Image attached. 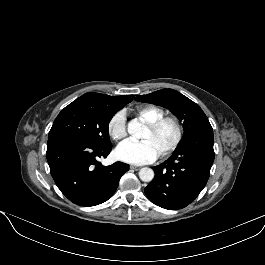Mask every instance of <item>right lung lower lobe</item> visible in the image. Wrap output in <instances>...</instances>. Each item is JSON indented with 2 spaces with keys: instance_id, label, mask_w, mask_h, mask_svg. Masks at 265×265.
<instances>
[{
  "instance_id": "obj_1",
  "label": "right lung lower lobe",
  "mask_w": 265,
  "mask_h": 265,
  "mask_svg": "<svg viewBox=\"0 0 265 265\" xmlns=\"http://www.w3.org/2000/svg\"><path fill=\"white\" fill-rule=\"evenodd\" d=\"M111 146H99L73 135L48 138L46 157L51 175L60 191L80 206H95L108 200L115 192L121 176L129 165L116 162L102 166Z\"/></svg>"
}]
</instances>
